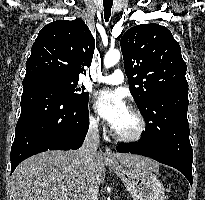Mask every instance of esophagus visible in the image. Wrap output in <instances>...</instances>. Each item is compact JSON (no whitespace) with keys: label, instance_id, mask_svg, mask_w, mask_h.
Wrapping results in <instances>:
<instances>
[{"label":"esophagus","instance_id":"obj_1","mask_svg":"<svg viewBox=\"0 0 205 200\" xmlns=\"http://www.w3.org/2000/svg\"><path fill=\"white\" fill-rule=\"evenodd\" d=\"M105 157L107 160H114L115 159V155L112 153L111 149L109 147L105 148Z\"/></svg>","mask_w":205,"mask_h":200}]
</instances>
